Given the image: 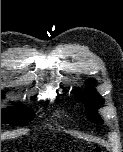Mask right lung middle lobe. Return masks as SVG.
I'll list each match as a JSON object with an SVG mask.
<instances>
[{"instance_id": "right-lung-middle-lobe-1", "label": "right lung middle lobe", "mask_w": 123, "mask_h": 152, "mask_svg": "<svg viewBox=\"0 0 123 152\" xmlns=\"http://www.w3.org/2000/svg\"><path fill=\"white\" fill-rule=\"evenodd\" d=\"M3 95L1 94V98ZM34 112L25 109L23 106H17L13 109H4L1 111V121L11 125H26L34 118Z\"/></svg>"}]
</instances>
